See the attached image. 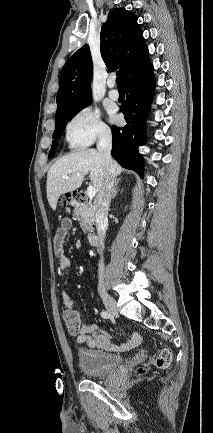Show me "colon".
<instances>
[{
	"mask_svg": "<svg viewBox=\"0 0 213 433\" xmlns=\"http://www.w3.org/2000/svg\"><path fill=\"white\" fill-rule=\"evenodd\" d=\"M73 197L75 199H79L83 197V193L75 192L73 194ZM67 203H68L67 199H64L62 201L63 205H66ZM62 319L67 329L72 333L78 332V330L82 325L81 313L73 307H66V309L62 313ZM172 357H173L172 350L168 347H165L151 361V364H153L157 368H167L172 362ZM145 371H146L145 368L139 369L140 374H143Z\"/></svg>",
	"mask_w": 213,
	"mask_h": 433,
	"instance_id": "5ec220e1",
	"label": "colon"
}]
</instances>
